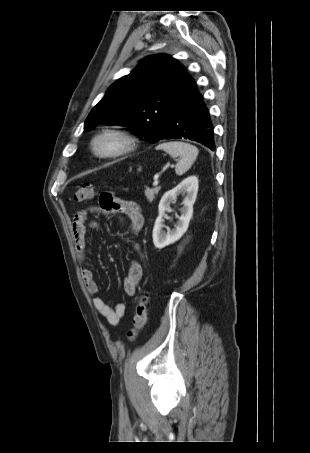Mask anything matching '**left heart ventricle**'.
I'll return each mask as SVG.
<instances>
[{
	"instance_id": "b2bd125f",
	"label": "left heart ventricle",
	"mask_w": 310,
	"mask_h": 453,
	"mask_svg": "<svg viewBox=\"0 0 310 453\" xmlns=\"http://www.w3.org/2000/svg\"><path fill=\"white\" fill-rule=\"evenodd\" d=\"M111 144H112V142L108 140V141H104L102 143V146L106 148V147H109Z\"/></svg>"
}]
</instances>
